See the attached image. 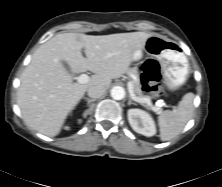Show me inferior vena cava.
Here are the masks:
<instances>
[{"label": "inferior vena cava", "mask_w": 222, "mask_h": 187, "mask_svg": "<svg viewBox=\"0 0 222 187\" xmlns=\"http://www.w3.org/2000/svg\"><path fill=\"white\" fill-rule=\"evenodd\" d=\"M105 91L106 88L101 85L92 86L87 90L88 96L94 99L100 98L105 93Z\"/></svg>", "instance_id": "602c4592"}]
</instances>
